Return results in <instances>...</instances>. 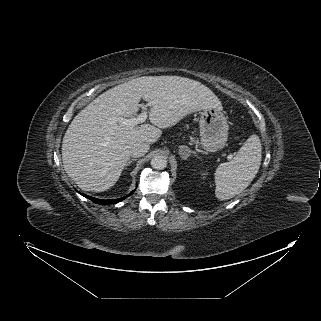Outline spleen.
Segmentation results:
<instances>
[{
	"mask_svg": "<svg viewBox=\"0 0 321 321\" xmlns=\"http://www.w3.org/2000/svg\"><path fill=\"white\" fill-rule=\"evenodd\" d=\"M262 146L257 135H251L230 162L221 163L215 171V195L228 200L246 189L261 165Z\"/></svg>",
	"mask_w": 321,
	"mask_h": 321,
	"instance_id": "1",
	"label": "spleen"
}]
</instances>
